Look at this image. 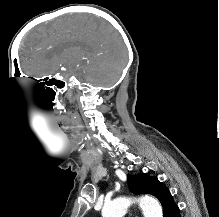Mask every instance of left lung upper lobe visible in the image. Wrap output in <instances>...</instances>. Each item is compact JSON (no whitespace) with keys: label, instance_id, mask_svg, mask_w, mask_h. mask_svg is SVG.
Returning <instances> with one entry per match:
<instances>
[{"label":"left lung upper lobe","instance_id":"5c2ea615","mask_svg":"<svg viewBox=\"0 0 219 217\" xmlns=\"http://www.w3.org/2000/svg\"><path fill=\"white\" fill-rule=\"evenodd\" d=\"M129 190L134 194H151L158 198L165 215L168 207L173 204V198L166 186L158 181L156 177H151L145 173L128 175Z\"/></svg>","mask_w":219,"mask_h":217}]
</instances>
